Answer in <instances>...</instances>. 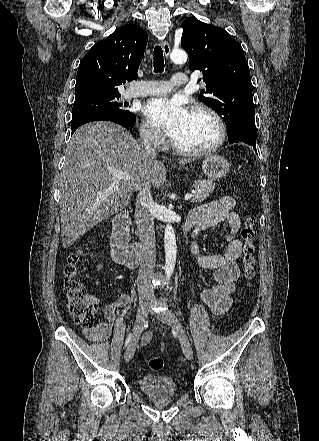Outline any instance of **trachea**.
I'll return each mask as SVG.
<instances>
[{"mask_svg": "<svg viewBox=\"0 0 319 441\" xmlns=\"http://www.w3.org/2000/svg\"><path fill=\"white\" fill-rule=\"evenodd\" d=\"M153 64H154V72L155 73H162L164 71V59H163V51L160 46H155L154 48V58H153Z\"/></svg>", "mask_w": 319, "mask_h": 441, "instance_id": "trachea-1", "label": "trachea"}]
</instances>
